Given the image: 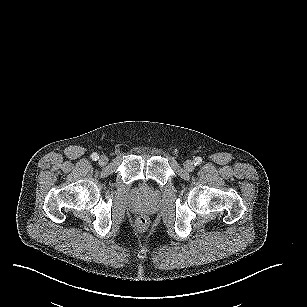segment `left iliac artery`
<instances>
[{
  "label": "left iliac artery",
  "instance_id": "left-iliac-artery-1",
  "mask_svg": "<svg viewBox=\"0 0 307 307\" xmlns=\"http://www.w3.org/2000/svg\"><path fill=\"white\" fill-rule=\"evenodd\" d=\"M202 163V158L201 157H196L195 158V165H200Z\"/></svg>",
  "mask_w": 307,
  "mask_h": 307
}]
</instances>
